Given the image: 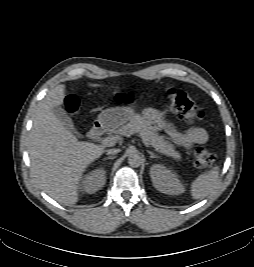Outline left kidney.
Masks as SVG:
<instances>
[{
  "mask_svg": "<svg viewBox=\"0 0 254 267\" xmlns=\"http://www.w3.org/2000/svg\"><path fill=\"white\" fill-rule=\"evenodd\" d=\"M150 177L153 186L161 193L179 195L185 191L184 186L178 179V175L164 165L154 164L150 168Z\"/></svg>",
  "mask_w": 254,
  "mask_h": 267,
  "instance_id": "left-kidney-1",
  "label": "left kidney"
}]
</instances>
